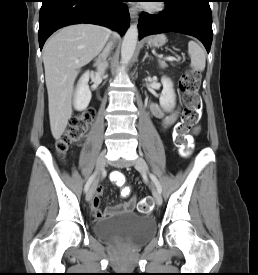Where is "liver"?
I'll use <instances>...</instances> for the list:
<instances>
[{
    "label": "liver",
    "mask_w": 258,
    "mask_h": 275,
    "mask_svg": "<svg viewBox=\"0 0 258 275\" xmlns=\"http://www.w3.org/2000/svg\"><path fill=\"white\" fill-rule=\"evenodd\" d=\"M108 37L103 27L78 24L59 30L45 43L43 63L50 128L56 140L71 118L74 82L80 69L101 52Z\"/></svg>",
    "instance_id": "liver-1"
}]
</instances>
